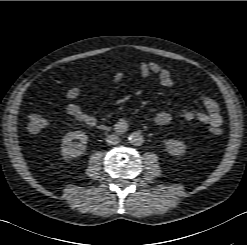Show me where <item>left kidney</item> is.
I'll return each instance as SVG.
<instances>
[{
  "instance_id": "5707ae66",
  "label": "left kidney",
  "mask_w": 247,
  "mask_h": 245,
  "mask_svg": "<svg viewBox=\"0 0 247 245\" xmlns=\"http://www.w3.org/2000/svg\"><path fill=\"white\" fill-rule=\"evenodd\" d=\"M165 144L168 153L171 155L180 156L186 151V145L182 141L170 139Z\"/></svg>"
}]
</instances>
